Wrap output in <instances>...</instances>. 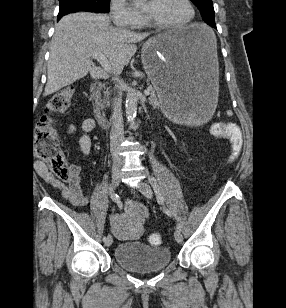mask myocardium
Returning a JSON list of instances; mask_svg holds the SVG:
<instances>
[{
  "label": "myocardium",
  "instance_id": "obj_1",
  "mask_svg": "<svg viewBox=\"0 0 286 308\" xmlns=\"http://www.w3.org/2000/svg\"><path fill=\"white\" fill-rule=\"evenodd\" d=\"M184 1L187 4V6L190 10V17L186 21L181 22V23H177V24H168V23L156 21V20L152 19L150 16H147L148 23L151 26H153L157 29H162V30L180 29V28L187 27V26L191 25L195 21L196 10H195V7H194L191 0H184Z\"/></svg>",
  "mask_w": 286,
  "mask_h": 308
}]
</instances>
